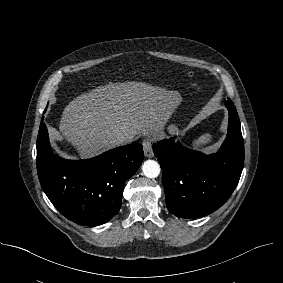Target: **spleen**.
Wrapping results in <instances>:
<instances>
[{
  "mask_svg": "<svg viewBox=\"0 0 283 283\" xmlns=\"http://www.w3.org/2000/svg\"><path fill=\"white\" fill-rule=\"evenodd\" d=\"M212 140V135L209 133L203 134L202 136H200L198 139H196L195 141H193V145L195 147L200 146L202 144H207L208 142H210Z\"/></svg>",
  "mask_w": 283,
  "mask_h": 283,
  "instance_id": "obj_1",
  "label": "spleen"
}]
</instances>
